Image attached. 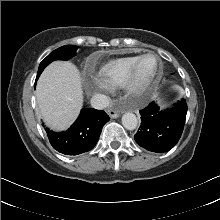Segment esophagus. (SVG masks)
I'll use <instances>...</instances> for the list:
<instances>
[{
  "label": "esophagus",
  "mask_w": 220,
  "mask_h": 220,
  "mask_svg": "<svg viewBox=\"0 0 220 220\" xmlns=\"http://www.w3.org/2000/svg\"><path fill=\"white\" fill-rule=\"evenodd\" d=\"M108 114L111 118H117L119 117L120 113L118 111L115 110H108Z\"/></svg>",
  "instance_id": "34e87169"
}]
</instances>
